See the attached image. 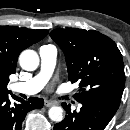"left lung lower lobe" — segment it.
Here are the masks:
<instances>
[{
    "label": "left lung lower lobe",
    "mask_w": 130,
    "mask_h": 130,
    "mask_svg": "<svg viewBox=\"0 0 130 130\" xmlns=\"http://www.w3.org/2000/svg\"><path fill=\"white\" fill-rule=\"evenodd\" d=\"M79 112L71 111L70 104L62 103L67 115L54 125L53 130H103L116 113V107L102 100H80Z\"/></svg>",
    "instance_id": "0a47b994"
}]
</instances>
